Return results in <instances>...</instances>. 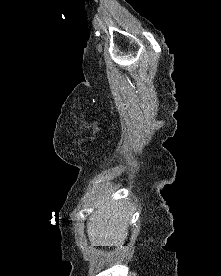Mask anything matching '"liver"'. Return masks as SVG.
<instances>
[{
  "instance_id": "liver-1",
  "label": "liver",
  "mask_w": 221,
  "mask_h": 276,
  "mask_svg": "<svg viewBox=\"0 0 221 276\" xmlns=\"http://www.w3.org/2000/svg\"><path fill=\"white\" fill-rule=\"evenodd\" d=\"M132 214L130 204L124 200H102L87 222V234L91 245H123L128 236Z\"/></svg>"
}]
</instances>
